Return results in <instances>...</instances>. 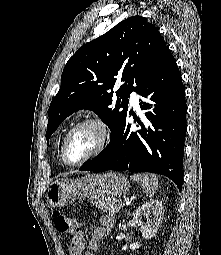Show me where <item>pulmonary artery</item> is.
<instances>
[{
	"mask_svg": "<svg viewBox=\"0 0 221 255\" xmlns=\"http://www.w3.org/2000/svg\"><path fill=\"white\" fill-rule=\"evenodd\" d=\"M130 99H131L132 105H134L135 107L138 106V96L135 92L131 93Z\"/></svg>",
	"mask_w": 221,
	"mask_h": 255,
	"instance_id": "1",
	"label": "pulmonary artery"
}]
</instances>
